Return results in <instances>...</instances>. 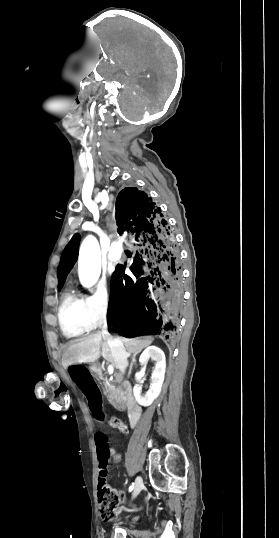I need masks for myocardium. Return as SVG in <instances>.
<instances>
[{"label": "myocardium", "instance_id": "myocardium-1", "mask_svg": "<svg viewBox=\"0 0 279 538\" xmlns=\"http://www.w3.org/2000/svg\"><path fill=\"white\" fill-rule=\"evenodd\" d=\"M68 208H69V207H68ZM89 225H90V223L86 222V223L84 224V228L87 227V226H89ZM128 237H129L130 239H133L134 235L132 234V232H129Z\"/></svg>", "mask_w": 279, "mask_h": 538}]
</instances>
